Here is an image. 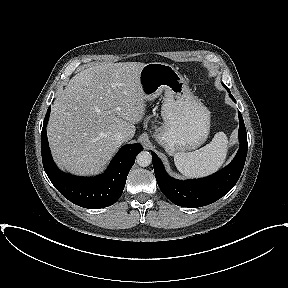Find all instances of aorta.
Here are the masks:
<instances>
[{
	"label": "aorta",
	"instance_id": "762f6f07",
	"mask_svg": "<svg viewBox=\"0 0 288 288\" xmlns=\"http://www.w3.org/2000/svg\"><path fill=\"white\" fill-rule=\"evenodd\" d=\"M137 164L141 167H147L152 162V156L148 151L140 152L136 157Z\"/></svg>",
	"mask_w": 288,
	"mask_h": 288
}]
</instances>
